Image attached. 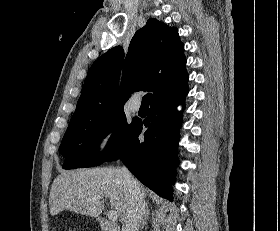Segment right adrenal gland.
Wrapping results in <instances>:
<instances>
[{
  "label": "right adrenal gland",
  "instance_id": "1",
  "mask_svg": "<svg viewBox=\"0 0 280 231\" xmlns=\"http://www.w3.org/2000/svg\"><path fill=\"white\" fill-rule=\"evenodd\" d=\"M149 213H150V209H149V207H146V209H145V217H144V219L142 221L141 229H143L145 223H147V217H148Z\"/></svg>",
  "mask_w": 280,
  "mask_h": 231
}]
</instances>
